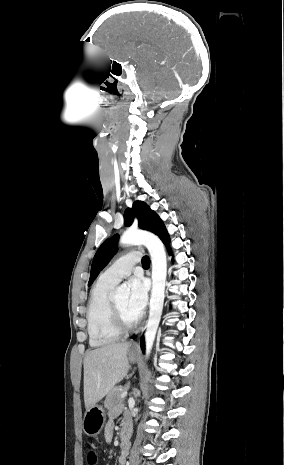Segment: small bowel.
<instances>
[{
	"label": "small bowel",
	"mask_w": 284,
	"mask_h": 465,
	"mask_svg": "<svg viewBox=\"0 0 284 465\" xmlns=\"http://www.w3.org/2000/svg\"><path fill=\"white\" fill-rule=\"evenodd\" d=\"M117 415H118V410H113L110 413V420L107 423L106 428H105V438H106L107 441H110L111 438H112L113 429H114L113 420L116 418ZM122 431H125L130 436V434H131V423H130L129 420L126 419L123 422L121 432ZM128 449H129V437H128L127 440H125V441L122 440L121 441V456H120L119 461H118L119 465H126V456L128 454Z\"/></svg>",
	"instance_id": "c3829d8e"
}]
</instances>
